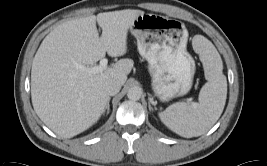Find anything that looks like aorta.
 Masks as SVG:
<instances>
[{"mask_svg": "<svg viewBox=\"0 0 267 166\" xmlns=\"http://www.w3.org/2000/svg\"><path fill=\"white\" fill-rule=\"evenodd\" d=\"M142 91L139 87H131L128 90L127 96L132 101H137L141 98Z\"/></svg>", "mask_w": 267, "mask_h": 166, "instance_id": "1", "label": "aorta"}]
</instances>
